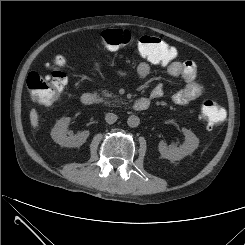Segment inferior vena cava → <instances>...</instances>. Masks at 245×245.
<instances>
[{
    "label": "inferior vena cava",
    "mask_w": 245,
    "mask_h": 245,
    "mask_svg": "<svg viewBox=\"0 0 245 245\" xmlns=\"http://www.w3.org/2000/svg\"><path fill=\"white\" fill-rule=\"evenodd\" d=\"M117 119H118V117H117V115L114 114V113H107V114L105 115V120H106V122H107L108 124H113V123H115V122L117 121Z\"/></svg>",
    "instance_id": "obj_1"
}]
</instances>
